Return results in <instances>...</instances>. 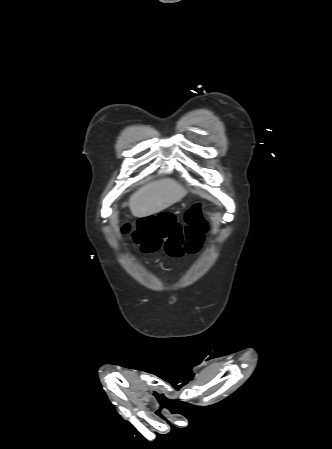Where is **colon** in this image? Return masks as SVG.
I'll list each match as a JSON object with an SVG mask.
<instances>
[{
	"label": "colon",
	"instance_id": "obj_1",
	"mask_svg": "<svg viewBox=\"0 0 332 449\" xmlns=\"http://www.w3.org/2000/svg\"><path fill=\"white\" fill-rule=\"evenodd\" d=\"M185 224L177 223L172 214L161 213L142 218L134 229L123 223L121 232L144 253H154L161 249L170 257L193 254L201 246L208 225L202 216L200 204L193 205L185 215Z\"/></svg>",
	"mask_w": 332,
	"mask_h": 449
}]
</instances>
